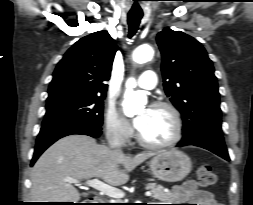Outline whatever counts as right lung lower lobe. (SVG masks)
<instances>
[{
  "label": "right lung lower lobe",
  "mask_w": 253,
  "mask_h": 205,
  "mask_svg": "<svg viewBox=\"0 0 253 205\" xmlns=\"http://www.w3.org/2000/svg\"><path fill=\"white\" fill-rule=\"evenodd\" d=\"M72 134H82L97 138L101 135V127H88L77 124H58L42 126L36 140L35 152L31 161V166L38 157L55 141Z\"/></svg>",
  "instance_id": "obj_1"
}]
</instances>
